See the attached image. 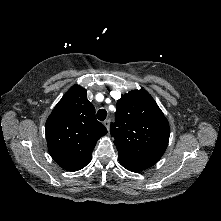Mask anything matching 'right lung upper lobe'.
<instances>
[{
	"mask_svg": "<svg viewBox=\"0 0 221 221\" xmlns=\"http://www.w3.org/2000/svg\"><path fill=\"white\" fill-rule=\"evenodd\" d=\"M45 132L53 160L72 172L88 165L97 140L107 134V129L96 120L86 89L75 85L53 109Z\"/></svg>",
	"mask_w": 221,
	"mask_h": 221,
	"instance_id": "right-lung-upper-lobe-1",
	"label": "right lung upper lobe"
}]
</instances>
